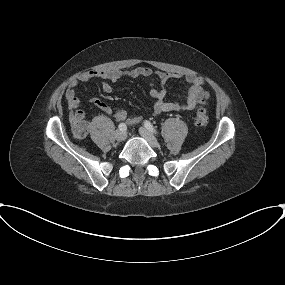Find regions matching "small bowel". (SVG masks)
<instances>
[{"label": "small bowel", "mask_w": 285, "mask_h": 285, "mask_svg": "<svg viewBox=\"0 0 285 285\" xmlns=\"http://www.w3.org/2000/svg\"><path fill=\"white\" fill-rule=\"evenodd\" d=\"M94 78L102 79V90L105 93H111L113 85L118 83L123 78H146L151 81V97L154 99V104L151 109L153 116L159 115L165 112H184L194 109L199 103L208 98L209 94L205 90L204 80L193 74H182L178 72H154L148 67H136L128 71H111V70H94L84 72L77 78L73 79L65 93V98L68 106L75 110L72 116L73 122L78 120H84L85 113L80 109V99L76 93V87L83 82H87ZM169 79H181L187 87L183 91L184 102H168L165 100L166 90L164 88L165 83ZM91 101L96 105L98 109L106 114H112L118 121H126L128 125H135L142 119L140 115L134 117H128V113L123 108L113 109L107 103L100 99L93 97Z\"/></svg>", "instance_id": "small-bowel-1"}]
</instances>
